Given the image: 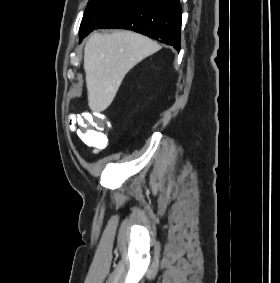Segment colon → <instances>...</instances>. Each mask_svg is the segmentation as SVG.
<instances>
[{"mask_svg":"<svg viewBox=\"0 0 280 283\" xmlns=\"http://www.w3.org/2000/svg\"><path fill=\"white\" fill-rule=\"evenodd\" d=\"M74 122L77 138L88 148L101 151L108 144L105 132H108L109 122H103L106 114L99 110H86L81 115H71Z\"/></svg>","mask_w":280,"mask_h":283,"instance_id":"colon-1","label":"colon"}]
</instances>
